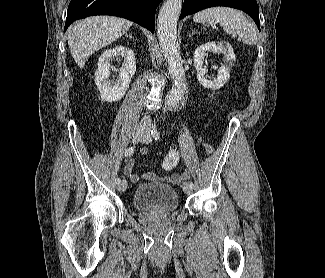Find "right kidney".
Returning a JSON list of instances; mask_svg holds the SVG:
<instances>
[{
	"mask_svg": "<svg viewBox=\"0 0 325 278\" xmlns=\"http://www.w3.org/2000/svg\"><path fill=\"white\" fill-rule=\"evenodd\" d=\"M123 57L124 64L120 68L117 81H109L110 71L116 68L110 65L112 57ZM136 71L134 52L122 45L107 49L102 53L98 61V68L95 72V83L100 92L101 99L106 102H117L121 100Z\"/></svg>",
	"mask_w": 325,
	"mask_h": 278,
	"instance_id": "obj_1",
	"label": "right kidney"
}]
</instances>
